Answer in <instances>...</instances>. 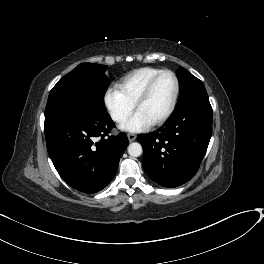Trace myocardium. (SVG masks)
<instances>
[{
    "mask_svg": "<svg viewBox=\"0 0 264 264\" xmlns=\"http://www.w3.org/2000/svg\"><path fill=\"white\" fill-rule=\"evenodd\" d=\"M164 74H170L173 77L174 82H175V90H174L173 98L171 100V103H170L168 109L157 120L151 122V125H153V126H158V125L163 124L172 115V113L175 110V107H176V104L178 101V97H179V92H180V82H179L177 75L173 71L168 70V69L161 70L159 73L154 75L149 80V82L147 83V85L145 86L143 91L141 92L140 96L138 97L137 101L135 102V109L137 110L138 107L148 99L155 83Z\"/></svg>",
    "mask_w": 264,
    "mask_h": 264,
    "instance_id": "myocardium-1",
    "label": "myocardium"
}]
</instances>
